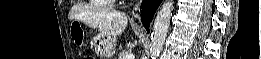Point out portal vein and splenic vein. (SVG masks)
Segmentation results:
<instances>
[{"label":"portal vein and splenic vein","mask_w":261,"mask_h":59,"mask_svg":"<svg viewBox=\"0 0 261 59\" xmlns=\"http://www.w3.org/2000/svg\"><path fill=\"white\" fill-rule=\"evenodd\" d=\"M125 59H134V55L132 53L127 54Z\"/></svg>","instance_id":"1"}]
</instances>
